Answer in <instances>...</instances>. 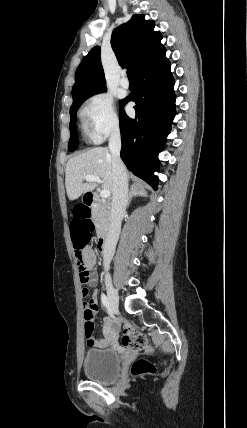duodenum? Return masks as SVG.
Listing matches in <instances>:
<instances>
[{"label":"duodenum","instance_id":"1","mask_svg":"<svg viewBox=\"0 0 247 428\" xmlns=\"http://www.w3.org/2000/svg\"><path fill=\"white\" fill-rule=\"evenodd\" d=\"M85 203L88 204L89 207H93L94 205H96L98 203V199L94 194L88 193L86 195V198H85ZM109 243H110L109 235L108 234H102L98 239V244H97L98 250L101 253H104L107 250Z\"/></svg>","mask_w":247,"mask_h":428}]
</instances>
